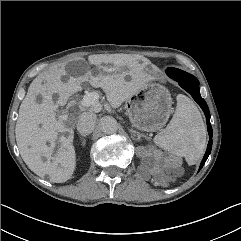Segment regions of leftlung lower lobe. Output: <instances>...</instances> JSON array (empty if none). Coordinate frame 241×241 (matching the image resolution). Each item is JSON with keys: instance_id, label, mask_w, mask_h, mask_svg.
Here are the masks:
<instances>
[{"instance_id": "obj_1", "label": "left lung lower lobe", "mask_w": 241, "mask_h": 241, "mask_svg": "<svg viewBox=\"0 0 241 241\" xmlns=\"http://www.w3.org/2000/svg\"><path fill=\"white\" fill-rule=\"evenodd\" d=\"M167 74L169 77H171L175 81L179 82V85L184 90H186L188 93H190L191 96L194 98V100L203 109L205 116H206L208 133H209V136L212 137L213 133H212V127L210 124V112H209V109H208V106H207L205 100L200 95L198 80L194 76L189 75L188 73H185V72H181V73H178V72L168 73L167 72ZM211 148H212V139L209 140L206 153H205L204 158L200 165V169L205 164V162L211 152Z\"/></svg>"}]
</instances>
